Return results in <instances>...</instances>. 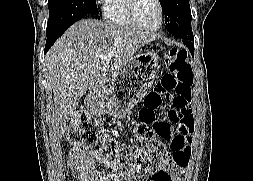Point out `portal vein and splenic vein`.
<instances>
[{"mask_svg": "<svg viewBox=\"0 0 253 181\" xmlns=\"http://www.w3.org/2000/svg\"><path fill=\"white\" fill-rule=\"evenodd\" d=\"M113 56H114L113 53H108V54L105 56V58H112Z\"/></svg>", "mask_w": 253, "mask_h": 181, "instance_id": "portal-vein-and-splenic-vein-1", "label": "portal vein and splenic vein"}]
</instances>
